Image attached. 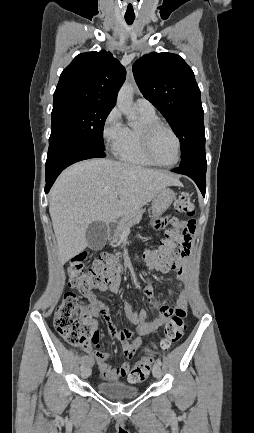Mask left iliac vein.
<instances>
[{
  "label": "left iliac vein",
  "mask_w": 254,
  "mask_h": 433,
  "mask_svg": "<svg viewBox=\"0 0 254 433\" xmlns=\"http://www.w3.org/2000/svg\"><path fill=\"white\" fill-rule=\"evenodd\" d=\"M153 375L157 379L161 377V367L157 363L153 366Z\"/></svg>",
  "instance_id": "obj_1"
}]
</instances>
